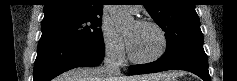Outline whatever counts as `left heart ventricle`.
Returning <instances> with one entry per match:
<instances>
[{
	"label": "left heart ventricle",
	"instance_id": "1",
	"mask_svg": "<svg viewBox=\"0 0 237 81\" xmlns=\"http://www.w3.org/2000/svg\"><path fill=\"white\" fill-rule=\"evenodd\" d=\"M132 53L139 58L154 55L161 46V40L156 30L150 26L133 23L126 32Z\"/></svg>",
	"mask_w": 237,
	"mask_h": 81
}]
</instances>
